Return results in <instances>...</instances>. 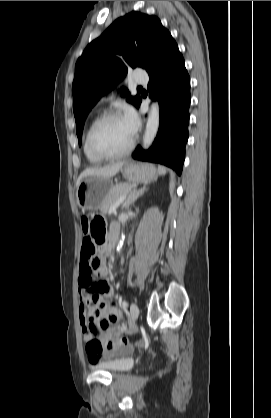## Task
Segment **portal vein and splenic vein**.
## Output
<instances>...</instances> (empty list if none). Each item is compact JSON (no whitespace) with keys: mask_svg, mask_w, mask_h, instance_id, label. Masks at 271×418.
Here are the masks:
<instances>
[{"mask_svg":"<svg viewBox=\"0 0 271 418\" xmlns=\"http://www.w3.org/2000/svg\"><path fill=\"white\" fill-rule=\"evenodd\" d=\"M126 197H127V194L121 196L120 199L115 204L112 205L108 213L112 214L117 209V207L126 199Z\"/></svg>","mask_w":271,"mask_h":418,"instance_id":"18ae733b","label":"portal vein and splenic vein"}]
</instances>
